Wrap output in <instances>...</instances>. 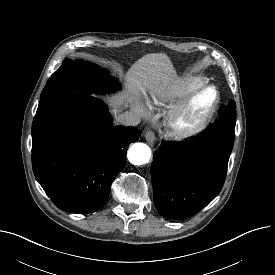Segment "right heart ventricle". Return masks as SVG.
Instances as JSON below:
<instances>
[{"instance_id": "right-heart-ventricle-1", "label": "right heart ventricle", "mask_w": 275, "mask_h": 275, "mask_svg": "<svg viewBox=\"0 0 275 275\" xmlns=\"http://www.w3.org/2000/svg\"><path fill=\"white\" fill-rule=\"evenodd\" d=\"M207 84L203 76L179 78L152 93L148 103L152 108H170L191 91Z\"/></svg>"}]
</instances>
